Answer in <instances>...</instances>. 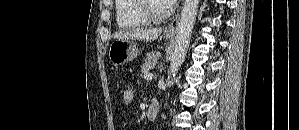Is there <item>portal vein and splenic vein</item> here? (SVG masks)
Here are the masks:
<instances>
[{"instance_id": "1", "label": "portal vein and splenic vein", "mask_w": 299, "mask_h": 130, "mask_svg": "<svg viewBox=\"0 0 299 130\" xmlns=\"http://www.w3.org/2000/svg\"><path fill=\"white\" fill-rule=\"evenodd\" d=\"M152 77H153V74H145V76H144V78H145L146 80H151Z\"/></svg>"}]
</instances>
